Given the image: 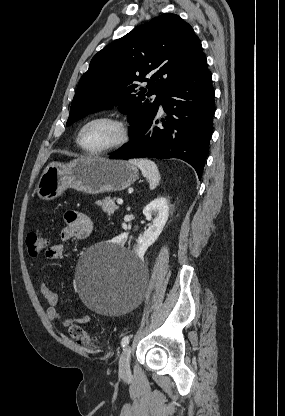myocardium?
Instances as JSON below:
<instances>
[{"mask_svg": "<svg viewBox=\"0 0 285 416\" xmlns=\"http://www.w3.org/2000/svg\"><path fill=\"white\" fill-rule=\"evenodd\" d=\"M97 121H106L109 122L111 124H113L118 132V138L116 140V142L104 149H99V150H90L88 148H86L83 144H82V134L85 130V128ZM129 141V129L127 127V125L125 124V122L123 120H121L120 118L113 116V115H108V114H100V115H96L90 119H88L80 128L78 134H77V138H76V142L77 145L79 146V148L88 155L91 156H103V155H108L111 153H114L120 149H122L127 142Z\"/></svg>", "mask_w": 285, "mask_h": 416, "instance_id": "1", "label": "myocardium"}]
</instances>
